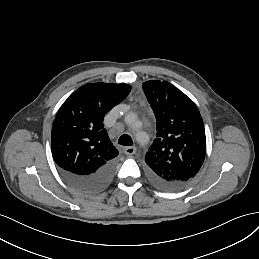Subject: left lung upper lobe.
Instances as JSON below:
<instances>
[{
  "label": "left lung upper lobe",
  "mask_w": 259,
  "mask_h": 259,
  "mask_svg": "<svg viewBox=\"0 0 259 259\" xmlns=\"http://www.w3.org/2000/svg\"><path fill=\"white\" fill-rule=\"evenodd\" d=\"M142 87L157 121V138L145 157L148 173L164 182L188 183L206 154L200 112L188 96L167 81L151 80Z\"/></svg>",
  "instance_id": "5c2ea615"
}]
</instances>
